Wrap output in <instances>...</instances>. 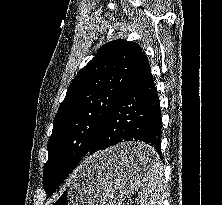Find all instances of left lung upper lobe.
<instances>
[{"label": "left lung upper lobe", "instance_id": "5c2ea615", "mask_svg": "<svg viewBox=\"0 0 222 205\" xmlns=\"http://www.w3.org/2000/svg\"><path fill=\"white\" fill-rule=\"evenodd\" d=\"M142 56L137 43L118 39L103 45L78 72L57 111L48 141L43 176L47 194L62 175L57 160L67 152L85 155L89 151Z\"/></svg>", "mask_w": 222, "mask_h": 205}]
</instances>
